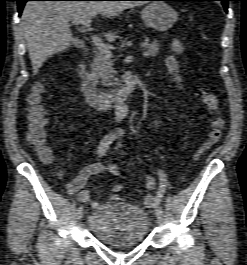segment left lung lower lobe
<instances>
[{"label": "left lung lower lobe", "mask_w": 247, "mask_h": 265, "mask_svg": "<svg viewBox=\"0 0 247 265\" xmlns=\"http://www.w3.org/2000/svg\"><path fill=\"white\" fill-rule=\"evenodd\" d=\"M136 1H182V0H136ZM191 1H220L223 4L225 11H228V1L231 0H191Z\"/></svg>", "instance_id": "left-lung-lower-lobe-1"}]
</instances>
